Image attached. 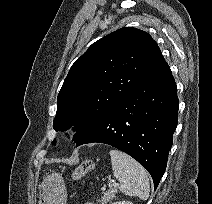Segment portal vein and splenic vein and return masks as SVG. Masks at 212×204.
Masks as SVG:
<instances>
[{"instance_id": "1", "label": "portal vein and splenic vein", "mask_w": 212, "mask_h": 204, "mask_svg": "<svg viewBox=\"0 0 212 204\" xmlns=\"http://www.w3.org/2000/svg\"><path fill=\"white\" fill-rule=\"evenodd\" d=\"M109 185L112 186V185H114V184L111 183V184H109Z\"/></svg>"}]
</instances>
